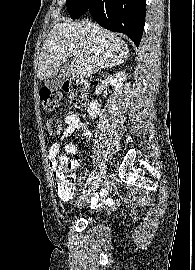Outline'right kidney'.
Instances as JSON below:
<instances>
[{
	"label": "right kidney",
	"instance_id": "right-kidney-1",
	"mask_svg": "<svg viewBox=\"0 0 195 270\" xmlns=\"http://www.w3.org/2000/svg\"><path fill=\"white\" fill-rule=\"evenodd\" d=\"M126 76L127 75L124 71L118 72L107 80L106 83H110L114 87V91L117 92L122 88L123 82L126 80ZM87 112L92 119L99 115L100 105L97 100H94L89 104Z\"/></svg>",
	"mask_w": 195,
	"mask_h": 270
}]
</instances>
